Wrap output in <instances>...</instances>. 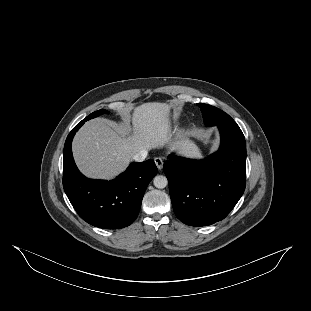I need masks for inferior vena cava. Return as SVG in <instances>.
I'll list each match as a JSON object with an SVG mask.
<instances>
[{"label":"inferior vena cava","mask_w":311,"mask_h":311,"mask_svg":"<svg viewBox=\"0 0 311 311\" xmlns=\"http://www.w3.org/2000/svg\"><path fill=\"white\" fill-rule=\"evenodd\" d=\"M148 151L146 150H142L138 153H136L132 159L136 162H143L145 160V158L147 157Z\"/></svg>","instance_id":"inferior-vena-cava-1"}]
</instances>
